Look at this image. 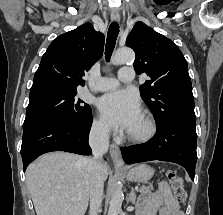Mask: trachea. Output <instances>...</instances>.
I'll use <instances>...</instances> for the list:
<instances>
[{
	"label": "trachea",
	"mask_w": 223,
	"mask_h": 215,
	"mask_svg": "<svg viewBox=\"0 0 223 215\" xmlns=\"http://www.w3.org/2000/svg\"><path fill=\"white\" fill-rule=\"evenodd\" d=\"M119 34V25L117 22H112L107 33V41L105 47V58L109 62L112 52L116 45L117 36Z\"/></svg>",
	"instance_id": "obj_1"
}]
</instances>
